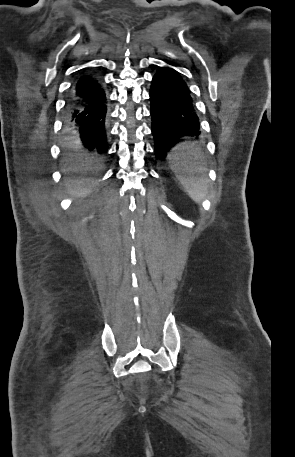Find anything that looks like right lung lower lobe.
<instances>
[{"instance_id":"98d812e1","label":"right lung lower lobe","mask_w":295,"mask_h":457,"mask_svg":"<svg viewBox=\"0 0 295 457\" xmlns=\"http://www.w3.org/2000/svg\"><path fill=\"white\" fill-rule=\"evenodd\" d=\"M107 98L100 79L82 73L72 84L67 101L69 125L79 128L82 146L97 155L107 152Z\"/></svg>"}]
</instances>
